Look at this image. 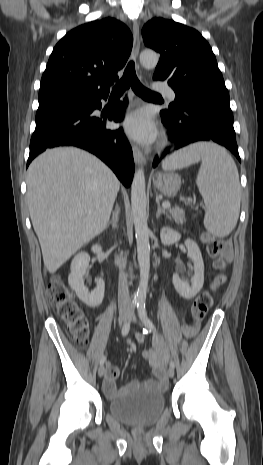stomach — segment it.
I'll use <instances>...</instances> for the list:
<instances>
[{
    "instance_id": "stomach-1",
    "label": "stomach",
    "mask_w": 263,
    "mask_h": 465,
    "mask_svg": "<svg viewBox=\"0 0 263 465\" xmlns=\"http://www.w3.org/2000/svg\"><path fill=\"white\" fill-rule=\"evenodd\" d=\"M153 183L162 194L173 197L180 189L181 179L174 173H157L153 176Z\"/></svg>"
}]
</instances>
